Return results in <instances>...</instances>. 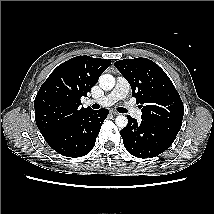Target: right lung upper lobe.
<instances>
[{"instance_id": "right-lung-upper-lobe-1", "label": "right lung upper lobe", "mask_w": 214, "mask_h": 214, "mask_svg": "<svg viewBox=\"0 0 214 214\" xmlns=\"http://www.w3.org/2000/svg\"><path fill=\"white\" fill-rule=\"evenodd\" d=\"M110 64L111 60L77 56L59 65L49 75L34 101L36 124L44 139L91 110L80 105V98L87 95Z\"/></svg>"}]
</instances>
